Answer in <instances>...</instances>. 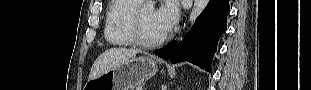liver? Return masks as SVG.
Masks as SVG:
<instances>
[{"mask_svg":"<svg viewBox=\"0 0 311 90\" xmlns=\"http://www.w3.org/2000/svg\"><path fill=\"white\" fill-rule=\"evenodd\" d=\"M139 52L141 51L133 48H111L106 50L93 63L89 74V80L96 79L101 74L117 68Z\"/></svg>","mask_w":311,"mask_h":90,"instance_id":"6515ba94","label":"liver"}]
</instances>
